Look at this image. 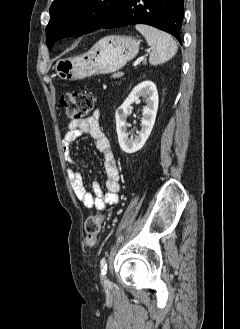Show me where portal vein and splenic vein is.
<instances>
[{"instance_id":"18ae733b","label":"portal vein and splenic vein","mask_w":240,"mask_h":329,"mask_svg":"<svg viewBox=\"0 0 240 329\" xmlns=\"http://www.w3.org/2000/svg\"><path fill=\"white\" fill-rule=\"evenodd\" d=\"M145 59V56L139 57L136 61H134L133 66L139 65L143 60Z\"/></svg>"}]
</instances>
